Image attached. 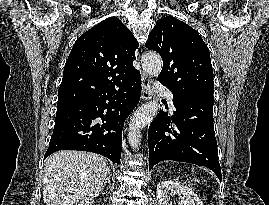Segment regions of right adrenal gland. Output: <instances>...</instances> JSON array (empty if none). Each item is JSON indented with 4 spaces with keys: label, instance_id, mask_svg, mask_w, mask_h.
<instances>
[{
    "label": "right adrenal gland",
    "instance_id": "1",
    "mask_svg": "<svg viewBox=\"0 0 269 205\" xmlns=\"http://www.w3.org/2000/svg\"><path fill=\"white\" fill-rule=\"evenodd\" d=\"M110 179H111V174H110V170H109L108 171V176H107V178L104 181V185H103L102 189L104 188V186H105L106 183H109L110 184Z\"/></svg>",
    "mask_w": 269,
    "mask_h": 205
}]
</instances>
